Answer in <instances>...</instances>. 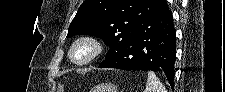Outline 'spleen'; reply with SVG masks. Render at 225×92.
<instances>
[{
    "label": "spleen",
    "mask_w": 225,
    "mask_h": 92,
    "mask_svg": "<svg viewBox=\"0 0 225 92\" xmlns=\"http://www.w3.org/2000/svg\"><path fill=\"white\" fill-rule=\"evenodd\" d=\"M144 92H167L154 72H148L147 83Z\"/></svg>",
    "instance_id": "spleen-1"
}]
</instances>
